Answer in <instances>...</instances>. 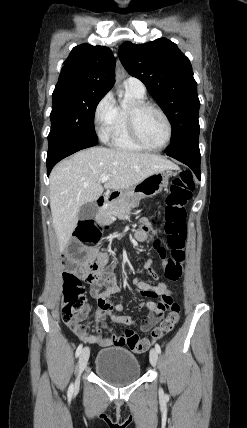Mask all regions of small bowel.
<instances>
[{
  "mask_svg": "<svg viewBox=\"0 0 247 428\" xmlns=\"http://www.w3.org/2000/svg\"><path fill=\"white\" fill-rule=\"evenodd\" d=\"M148 238L147 229L141 228L136 231L135 233V239L139 242H144ZM101 269V278L97 283L91 284L90 286V293L92 297L97 299L100 308L103 310L104 314L108 315V317L115 323L119 324H125V325H133L136 320L132 319L130 316L126 315H119L118 313L123 310V305L121 303H116L112 300V295L119 292V287L116 285L114 275L111 268H105V266L108 263V254L107 253H99L98 259H97ZM152 258H149L146 263L144 264L143 269L145 271H151L152 270ZM75 273L80 277L84 278L83 268L81 265H77L75 268ZM135 288L139 295L147 298H170L171 296V290L169 289L168 285L164 282H160L156 284L155 286H151L141 280L136 279L134 281ZM106 288L105 291H102L103 288ZM145 307V306H143ZM142 307V308H143ZM146 308V307H145ZM149 311V309H148ZM88 313V308H87ZM87 315V314H86ZM149 318L148 316L143 319L147 320ZM142 320V321H143ZM141 321V322H142ZM73 330V329H72ZM73 332L82 340L89 342V343H95L100 345L101 347H107L112 345V341L110 339H106L103 336H100V339H97V336L88 334L86 332V329H84L82 332H76L73 330Z\"/></svg>",
  "mask_w": 247,
  "mask_h": 428,
  "instance_id": "1",
  "label": "small bowel"
}]
</instances>
